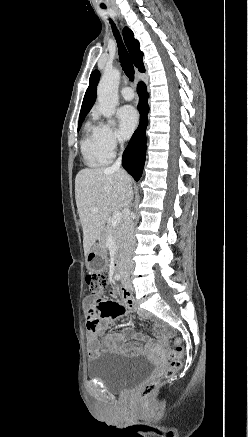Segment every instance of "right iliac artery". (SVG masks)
<instances>
[{"label": "right iliac artery", "instance_id": "right-iliac-artery-1", "mask_svg": "<svg viewBox=\"0 0 248 437\" xmlns=\"http://www.w3.org/2000/svg\"><path fill=\"white\" fill-rule=\"evenodd\" d=\"M115 279H116V280H119V279H120V275H119V274H116V275H115Z\"/></svg>", "mask_w": 248, "mask_h": 437}]
</instances>
